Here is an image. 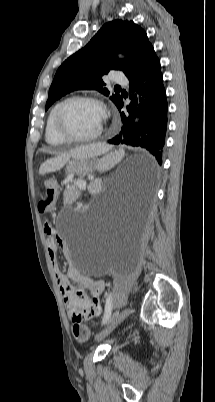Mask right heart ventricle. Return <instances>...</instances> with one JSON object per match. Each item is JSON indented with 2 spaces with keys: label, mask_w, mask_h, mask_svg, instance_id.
<instances>
[{
  "label": "right heart ventricle",
  "mask_w": 215,
  "mask_h": 402,
  "mask_svg": "<svg viewBox=\"0 0 215 402\" xmlns=\"http://www.w3.org/2000/svg\"><path fill=\"white\" fill-rule=\"evenodd\" d=\"M59 103L55 104L49 112L46 121V128H45V139L46 142L53 146L63 145L67 142V140L63 139L56 131L54 125V118L55 112L58 107Z\"/></svg>",
  "instance_id": "e07e8e85"
}]
</instances>
